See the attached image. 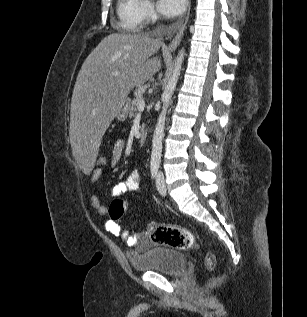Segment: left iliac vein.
<instances>
[{"label":"left iliac vein","mask_w":307,"mask_h":317,"mask_svg":"<svg viewBox=\"0 0 307 317\" xmlns=\"http://www.w3.org/2000/svg\"><path fill=\"white\" fill-rule=\"evenodd\" d=\"M156 187L160 194L165 195L166 194V185L164 181V176L162 173H159L156 178Z\"/></svg>","instance_id":"obj_1"}]
</instances>
